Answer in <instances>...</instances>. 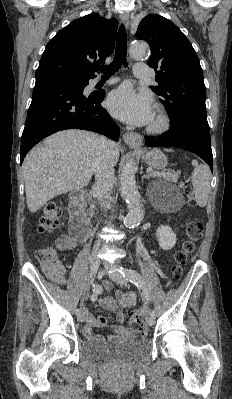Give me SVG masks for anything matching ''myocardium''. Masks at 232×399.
I'll return each mask as SVG.
<instances>
[{"mask_svg":"<svg viewBox=\"0 0 232 399\" xmlns=\"http://www.w3.org/2000/svg\"><path fill=\"white\" fill-rule=\"evenodd\" d=\"M157 122L153 125L147 126L144 132L150 135H160L167 132L171 126V116L166 108L157 105Z\"/></svg>","mask_w":232,"mask_h":399,"instance_id":"obj_1","label":"myocardium"}]
</instances>
